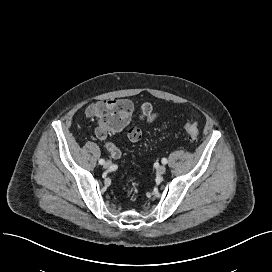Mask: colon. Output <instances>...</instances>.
<instances>
[{
    "label": "colon",
    "instance_id": "1",
    "mask_svg": "<svg viewBox=\"0 0 272 272\" xmlns=\"http://www.w3.org/2000/svg\"><path fill=\"white\" fill-rule=\"evenodd\" d=\"M98 127L97 135L102 138L110 131H118L122 129L127 121V117L113 106H103L97 110ZM184 129L191 140H196L199 135V129L196 122H188ZM128 136L133 139H140L142 131L139 127L133 126L128 131Z\"/></svg>",
    "mask_w": 272,
    "mask_h": 272
}]
</instances>
